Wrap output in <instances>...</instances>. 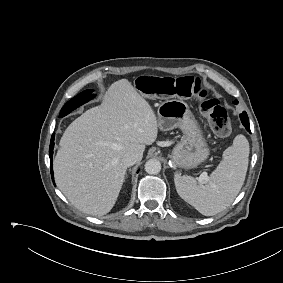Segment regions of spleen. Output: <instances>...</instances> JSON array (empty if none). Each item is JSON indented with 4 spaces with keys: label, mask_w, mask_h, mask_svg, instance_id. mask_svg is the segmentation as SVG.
Here are the masks:
<instances>
[{
    "label": "spleen",
    "mask_w": 283,
    "mask_h": 283,
    "mask_svg": "<svg viewBox=\"0 0 283 283\" xmlns=\"http://www.w3.org/2000/svg\"><path fill=\"white\" fill-rule=\"evenodd\" d=\"M249 143L244 135H237L233 145L223 152V160L211 173L205 185L187 175L175 173L178 195L205 216L226 209L241 190L247 168Z\"/></svg>",
    "instance_id": "obj_1"
}]
</instances>
